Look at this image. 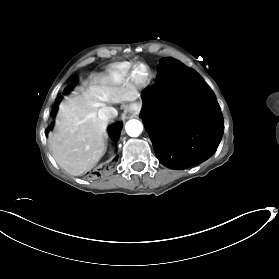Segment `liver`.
<instances>
[{"mask_svg": "<svg viewBox=\"0 0 279 279\" xmlns=\"http://www.w3.org/2000/svg\"><path fill=\"white\" fill-rule=\"evenodd\" d=\"M137 92L116 82L100 81L84 97L68 98L57 119L56 132L49 137L55 161L71 175L93 168L106 151V122L98 117L104 102L134 101Z\"/></svg>", "mask_w": 279, "mask_h": 279, "instance_id": "obj_1", "label": "liver"}]
</instances>
